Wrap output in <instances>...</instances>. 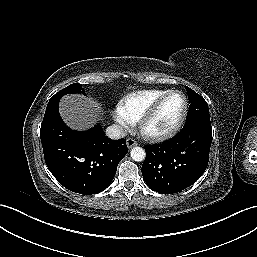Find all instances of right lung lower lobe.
I'll use <instances>...</instances> for the list:
<instances>
[{"instance_id": "98d812e1", "label": "right lung lower lobe", "mask_w": 257, "mask_h": 257, "mask_svg": "<svg viewBox=\"0 0 257 257\" xmlns=\"http://www.w3.org/2000/svg\"><path fill=\"white\" fill-rule=\"evenodd\" d=\"M53 96L46 107L40 137L48 169L65 188L83 195L105 190L128 152L125 139L111 140L100 125L73 131L62 121Z\"/></svg>"}]
</instances>
